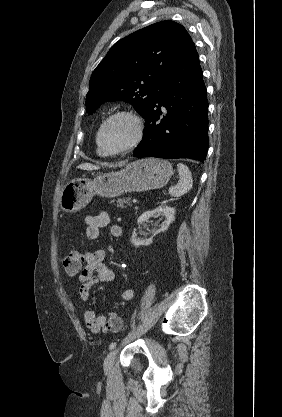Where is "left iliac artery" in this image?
<instances>
[{
  "label": "left iliac artery",
  "mask_w": 282,
  "mask_h": 417,
  "mask_svg": "<svg viewBox=\"0 0 282 417\" xmlns=\"http://www.w3.org/2000/svg\"><path fill=\"white\" fill-rule=\"evenodd\" d=\"M116 342H112L110 345H109V350H112V349H114L115 348V346H116Z\"/></svg>",
  "instance_id": "44dca946"
}]
</instances>
